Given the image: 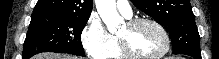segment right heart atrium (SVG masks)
Masks as SVG:
<instances>
[{"instance_id":"right-heart-atrium-1","label":"right heart atrium","mask_w":219,"mask_h":59,"mask_svg":"<svg viewBox=\"0 0 219 59\" xmlns=\"http://www.w3.org/2000/svg\"><path fill=\"white\" fill-rule=\"evenodd\" d=\"M81 42L87 56L91 59L109 58L116 45L115 37L96 16L89 18L81 33Z\"/></svg>"}]
</instances>
